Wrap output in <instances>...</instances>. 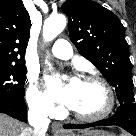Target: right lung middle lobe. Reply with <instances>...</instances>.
Segmentation results:
<instances>
[{"instance_id": "right-lung-middle-lobe-1", "label": "right lung middle lobe", "mask_w": 136, "mask_h": 136, "mask_svg": "<svg viewBox=\"0 0 136 136\" xmlns=\"http://www.w3.org/2000/svg\"><path fill=\"white\" fill-rule=\"evenodd\" d=\"M26 67L24 64H0V102H22Z\"/></svg>"}]
</instances>
